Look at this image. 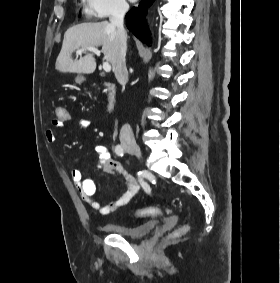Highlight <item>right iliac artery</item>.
Returning <instances> with one entry per match:
<instances>
[{"label": "right iliac artery", "instance_id": "82829eb1", "mask_svg": "<svg viewBox=\"0 0 280 283\" xmlns=\"http://www.w3.org/2000/svg\"><path fill=\"white\" fill-rule=\"evenodd\" d=\"M115 153H116L118 156H123V155L125 154V150H124V148H123L121 145H117V146L115 147ZM138 174H139V173H138ZM141 182H142V184H144L142 180H141Z\"/></svg>", "mask_w": 280, "mask_h": 283}]
</instances>
